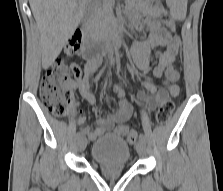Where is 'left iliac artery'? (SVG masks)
<instances>
[{"label": "left iliac artery", "instance_id": "44dca946", "mask_svg": "<svg viewBox=\"0 0 223 191\" xmlns=\"http://www.w3.org/2000/svg\"><path fill=\"white\" fill-rule=\"evenodd\" d=\"M139 139H140V141H143V142L146 141V137L143 134L139 135Z\"/></svg>", "mask_w": 223, "mask_h": 191}]
</instances>
